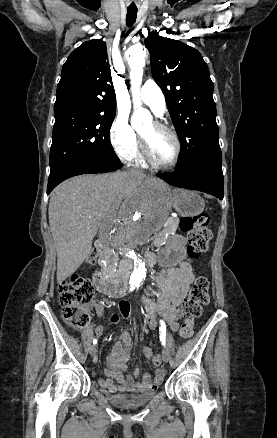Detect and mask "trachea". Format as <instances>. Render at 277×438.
Segmentation results:
<instances>
[{
    "mask_svg": "<svg viewBox=\"0 0 277 438\" xmlns=\"http://www.w3.org/2000/svg\"><path fill=\"white\" fill-rule=\"evenodd\" d=\"M137 7H128L126 15V24L128 27H132L136 21Z\"/></svg>",
    "mask_w": 277,
    "mask_h": 438,
    "instance_id": "1",
    "label": "trachea"
}]
</instances>
